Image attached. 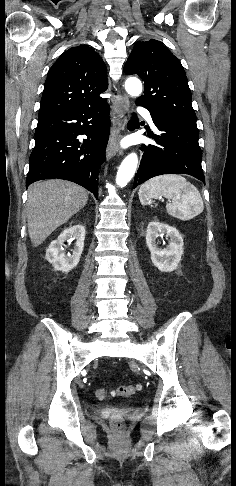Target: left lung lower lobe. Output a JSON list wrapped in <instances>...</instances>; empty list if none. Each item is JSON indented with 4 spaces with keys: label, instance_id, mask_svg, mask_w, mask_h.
Here are the masks:
<instances>
[{
    "label": "left lung lower lobe",
    "instance_id": "obj_1",
    "mask_svg": "<svg viewBox=\"0 0 236 486\" xmlns=\"http://www.w3.org/2000/svg\"><path fill=\"white\" fill-rule=\"evenodd\" d=\"M149 111L161 134L152 137L156 140L157 145L142 146L143 155L135 175L133 188L162 174H188L205 183L201 166L202 152L198 143V129L168 121L153 111ZM128 128L130 130L139 128L135 114H133V120L129 122Z\"/></svg>",
    "mask_w": 236,
    "mask_h": 486
}]
</instances>
